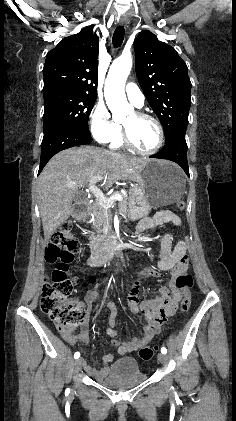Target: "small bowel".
I'll return each instance as SVG.
<instances>
[{
	"label": "small bowel",
	"instance_id": "obj_1",
	"mask_svg": "<svg viewBox=\"0 0 236 421\" xmlns=\"http://www.w3.org/2000/svg\"><path fill=\"white\" fill-rule=\"evenodd\" d=\"M173 223L175 225H181V219L174 214L171 211H161L159 213H157L156 215H154L153 217H146L143 218L137 226V230L138 231H152L154 229H156L159 225H162L164 223ZM169 240H170V236L167 235L165 237V241H164V251L167 252L169 249ZM166 254V253H165ZM185 254V247L183 245H179L178 247H176V249L174 250L173 254L170 256L172 262H177L179 261L183 255ZM167 256V254L165 255ZM137 293H138V287L135 286L129 293L128 295V302H129V306L132 310H138L139 308V301L137 299ZM98 293L97 291H91L87 294L86 298H85V302H77V304L79 306H87L88 308L91 307L92 303L97 299ZM107 306L110 310V316H109V324L111 326V329L114 328L115 326V318H116V308L114 306V304L112 302L107 303ZM114 330V329H113ZM62 337L68 341L69 343H74L77 340H85L88 336V333L82 332L78 335H74L72 334L70 331H60ZM152 338V335H149L147 337H145L143 339V342H146L148 340H150ZM137 347V346H135ZM112 360V358H111ZM107 368L102 369L103 371V375L105 373ZM102 375V376H103ZM102 378V377H101Z\"/></svg>",
	"mask_w": 236,
	"mask_h": 421
}]
</instances>
